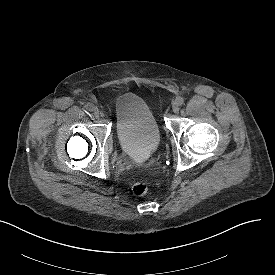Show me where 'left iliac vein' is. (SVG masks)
<instances>
[{"label": "left iliac vein", "mask_w": 275, "mask_h": 275, "mask_svg": "<svg viewBox=\"0 0 275 275\" xmlns=\"http://www.w3.org/2000/svg\"><path fill=\"white\" fill-rule=\"evenodd\" d=\"M172 109L174 113H178L179 112V104L175 101L172 105Z\"/></svg>", "instance_id": "1"}]
</instances>
